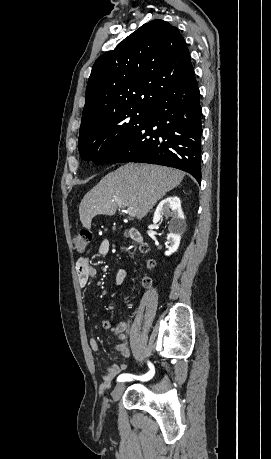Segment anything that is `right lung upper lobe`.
Returning a JSON list of instances; mask_svg holds the SVG:
<instances>
[{"label":"right lung upper lobe","instance_id":"1","mask_svg":"<svg viewBox=\"0 0 271 459\" xmlns=\"http://www.w3.org/2000/svg\"><path fill=\"white\" fill-rule=\"evenodd\" d=\"M190 53L179 30L152 20L94 63L81 123L149 105L194 76Z\"/></svg>","mask_w":271,"mask_h":459}]
</instances>
